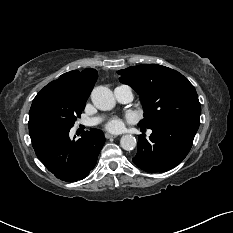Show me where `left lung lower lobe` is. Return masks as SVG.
<instances>
[{
  "label": "left lung lower lobe",
  "instance_id": "0a47b994",
  "mask_svg": "<svg viewBox=\"0 0 233 233\" xmlns=\"http://www.w3.org/2000/svg\"><path fill=\"white\" fill-rule=\"evenodd\" d=\"M199 125L190 122H162L150 127L149 139L139 135L133 162L147 172H165L183 161L191 149Z\"/></svg>",
  "mask_w": 233,
  "mask_h": 233
}]
</instances>
